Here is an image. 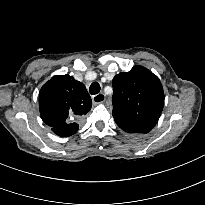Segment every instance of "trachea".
I'll return each mask as SVG.
<instances>
[{"instance_id":"obj_1","label":"trachea","mask_w":205,"mask_h":205,"mask_svg":"<svg viewBox=\"0 0 205 205\" xmlns=\"http://www.w3.org/2000/svg\"><path fill=\"white\" fill-rule=\"evenodd\" d=\"M89 92L92 94V95H96L100 92V85L99 83L97 82H93L90 87H89Z\"/></svg>"}]
</instances>
